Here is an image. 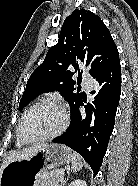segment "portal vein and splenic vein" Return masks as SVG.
<instances>
[{"mask_svg": "<svg viewBox=\"0 0 138 186\" xmlns=\"http://www.w3.org/2000/svg\"><path fill=\"white\" fill-rule=\"evenodd\" d=\"M64 174H65V170L63 169L59 170L57 173L58 176H62V177L64 176Z\"/></svg>", "mask_w": 138, "mask_h": 186, "instance_id": "18ae733b", "label": "portal vein and splenic vein"}]
</instances>
